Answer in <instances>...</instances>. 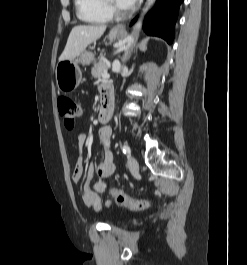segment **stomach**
Masks as SVG:
<instances>
[{
  "label": "stomach",
  "mask_w": 247,
  "mask_h": 265,
  "mask_svg": "<svg viewBox=\"0 0 247 265\" xmlns=\"http://www.w3.org/2000/svg\"><path fill=\"white\" fill-rule=\"evenodd\" d=\"M122 32L112 30L108 39L112 42L119 38ZM95 60L94 54L89 51H84L78 58L71 60L59 61L55 69L56 84L62 93H69L75 90L82 80V72L80 64L89 65Z\"/></svg>",
  "instance_id": "1"
}]
</instances>
